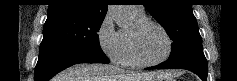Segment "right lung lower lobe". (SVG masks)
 <instances>
[{"instance_id":"right-lung-lower-lobe-1","label":"right lung lower lobe","mask_w":237,"mask_h":81,"mask_svg":"<svg viewBox=\"0 0 237 81\" xmlns=\"http://www.w3.org/2000/svg\"><path fill=\"white\" fill-rule=\"evenodd\" d=\"M102 51L40 48L35 81H48L60 71L78 63H108Z\"/></svg>"}]
</instances>
